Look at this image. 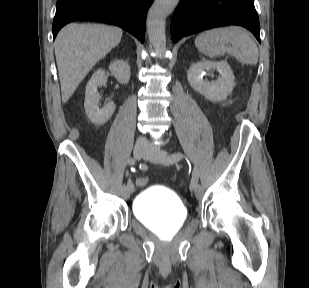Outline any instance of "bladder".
Segmentation results:
<instances>
[{
    "label": "bladder",
    "mask_w": 309,
    "mask_h": 288,
    "mask_svg": "<svg viewBox=\"0 0 309 288\" xmlns=\"http://www.w3.org/2000/svg\"><path fill=\"white\" fill-rule=\"evenodd\" d=\"M136 219L145 227L160 234L177 232L187 220V210L171 191L150 186L133 201Z\"/></svg>",
    "instance_id": "bladder-1"
}]
</instances>
